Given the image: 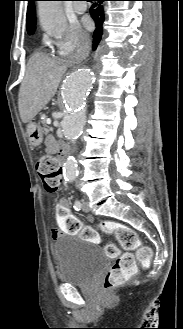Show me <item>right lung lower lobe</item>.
Listing matches in <instances>:
<instances>
[{
    "instance_id": "1",
    "label": "right lung lower lobe",
    "mask_w": 183,
    "mask_h": 329,
    "mask_svg": "<svg viewBox=\"0 0 183 329\" xmlns=\"http://www.w3.org/2000/svg\"><path fill=\"white\" fill-rule=\"evenodd\" d=\"M93 1L94 4L90 9V14L96 24V29L93 34V50H95L103 34L102 25L105 20V15H104L103 6H101L100 3H102L105 0H93Z\"/></svg>"
}]
</instances>
